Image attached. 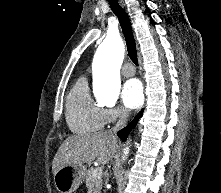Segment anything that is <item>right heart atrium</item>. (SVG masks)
Returning <instances> with one entry per match:
<instances>
[{"mask_svg": "<svg viewBox=\"0 0 221 193\" xmlns=\"http://www.w3.org/2000/svg\"><path fill=\"white\" fill-rule=\"evenodd\" d=\"M127 111L122 107H111L105 109V124H112L126 118Z\"/></svg>", "mask_w": 221, "mask_h": 193, "instance_id": "1", "label": "right heart atrium"}]
</instances>
